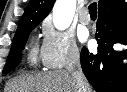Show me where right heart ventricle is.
I'll return each mask as SVG.
<instances>
[{
  "instance_id": "1",
  "label": "right heart ventricle",
  "mask_w": 127,
  "mask_h": 92,
  "mask_svg": "<svg viewBox=\"0 0 127 92\" xmlns=\"http://www.w3.org/2000/svg\"><path fill=\"white\" fill-rule=\"evenodd\" d=\"M38 62V52L35 45H32L28 53V63L31 66H36Z\"/></svg>"
}]
</instances>
